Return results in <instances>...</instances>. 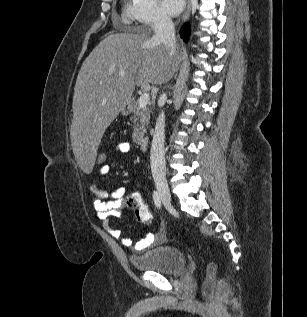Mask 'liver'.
Here are the masks:
<instances>
[{
	"instance_id": "liver-1",
	"label": "liver",
	"mask_w": 307,
	"mask_h": 317,
	"mask_svg": "<svg viewBox=\"0 0 307 317\" xmlns=\"http://www.w3.org/2000/svg\"><path fill=\"white\" fill-rule=\"evenodd\" d=\"M174 55H169L163 43L155 42L149 31L141 30L108 35L85 59L74 88L70 130L83 175H92L103 134L121 105L130 100L135 86L166 82L174 67Z\"/></svg>"
}]
</instances>
